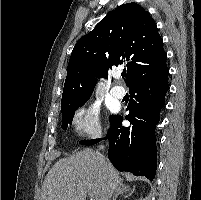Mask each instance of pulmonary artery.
I'll return each mask as SVG.
<instances>
[{"label": "pulmonary artery", "instance_id": "obj_1", "mask_svg": "<svg viewBox=\"0 0 201 200\" xmlns=\"http://www.w3.org/2000/svg\"><path fill=\"white\" fill-rule=\"evenodd\" d=\"M125 89L121 86H114L112 89H111V94L115 97V98H118V99H121L125 96Z\"/></svg>", "mask_w": 201, "mask_h": 200}]
</instances>
